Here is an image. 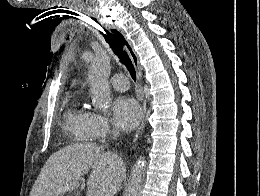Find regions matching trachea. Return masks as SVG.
Segmentation results:
<instances>
[{"label":"trachea","instance_id":"3493384b","mask_svg":"<svg viewBox=\"0 0 260 196\" xmlns=\"http://www.w3.org/2000/svg\"><path fill=\"white\" fill-rule=\"evenodd\" d=\"M104 37L106 39V43H108L114 54L118 56L119 61L122 63V65L126 66L131 77L134 81H136V72L134 70V65L132 64L127 51L124 50V37L118 30H112V33L107 32Z\"/></svg>","mask_w":260,"mask_h":196}]
</instances>
